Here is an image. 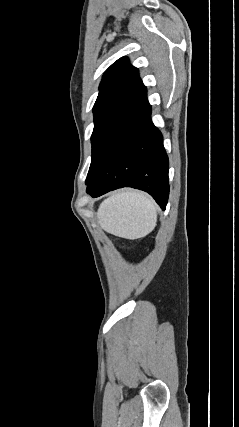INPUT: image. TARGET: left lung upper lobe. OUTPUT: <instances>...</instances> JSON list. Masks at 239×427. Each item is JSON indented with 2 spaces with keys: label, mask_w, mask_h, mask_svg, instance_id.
Returning a JSON list of instances; mask_svg holds the SVG:
<instances>
[{
  "label": "left lung upper lobe",
  "mask_w": 239,
  "mask_h": 427,
  "mask_svg": "<svg viewBox=\"0 0 239 427\" xmlns=\"http://www.w3.org/2000/svg\"><path fill=\"white\" fill-rule=\"evenodd\" d=\"M138 69L127 57L117 60L103 75L93 107L92 160L87 180L102 152L119 129L148 104Z\"/></svg>",
  "instance_id": "5c2ea615"
}]
</instances>
